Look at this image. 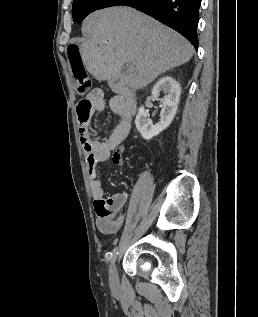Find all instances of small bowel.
Returning <instances> with one entry per match:
<instances>
[{"label": "small bowel", "instance_id": "1", "mask_svg": "<svg viewBox=\"0 0 258 317\" xmlns=\"http://www.w3.org/2000/svg\"><path fill=\"white\" fill-rule=\"evenodd\" d=\"M105 107L102 91L93 89L88 97L77 103L76 114L80 142L86 159L90 190L94 201L96 226L102 233L113 234L118 232L125 222L124 209L128 195L127 193H117L107 199L104 197L102 182L98 177V164L107 161L111 151L129 135L134 110L132 102L124 96H113L109 100V108L118 116L119 120L109 139L106 142H99L93 139L89 123L93 115L96 112L103 111ZM112 161L115 165H123V160H118L114 155Z\"/></svg>", "mask_w": 258, "mask_h": 317}]
</instances>
